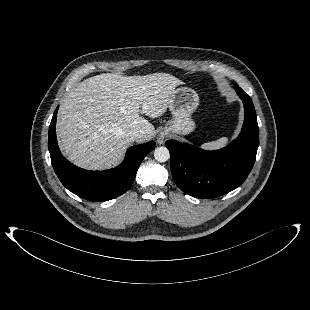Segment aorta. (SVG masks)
Here are the masks:
<instances>
[{
  "label": "aorta",
  "instance_id": "aorta-1",
  "mask_svg": "<svg viewBox=\"0 0 310 310\" xmlns=\"http://www.w3.org/2000/svg\"><path fill=\"white\" fill-rule=\"evenodd\" d=\"M154 158L161 163L168 161L170 159L169 150L164 146L157 147L154 151Z\"/></svg>",
  "mask_w": 310,
  "mask_h": 310
}]
</instances>
